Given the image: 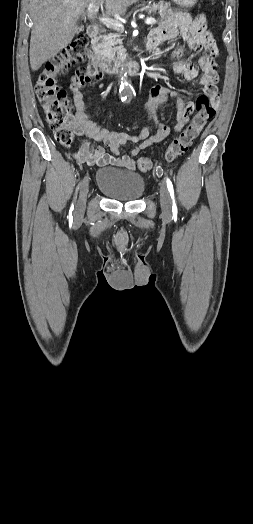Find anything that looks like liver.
Instances as JSON below:
<instances>
[{
  "label": "liver",
  "instance_id": "obj_1",
  "mask_svg": "<svg viewBox=\"0 0 253 524\" xmlns=\"http://www.w3.org/2000/svg\"><path fill=\"white\" fill-rule=\"evenodd\" d=\"M139 0H31L33 21L30 39V66L33 71L65 48L78 31L77 22L90 3H105L107 14L123 15Z\"/></svg>",
  "mask_w": 253,
  "mask_h": 524
}]
</instances>
